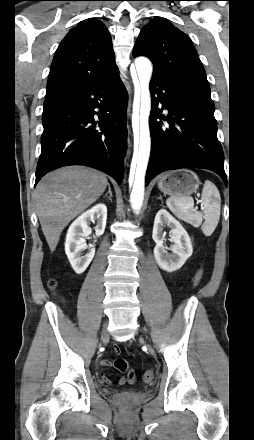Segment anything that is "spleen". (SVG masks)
I'll return each mask as SVG.
<instances>
[{
    "mask_svg": "<svg viewBox=\"0 0 254 440\" xmlns=\"http://www.w3.org/2000/svg\"><path fill=\"white\" fill-rule=\"evenodd\" d=\"M201 203L204 210L199 212L193 208L194 200L192 197H170L166 201L168 208L177 218L194 227L201 226L203 234L210 236L220 219L221 197L216 185L209 180L204 183Z\"/></svg>",
    "mask_w": 254,
    "mask_h": 440,
    "instance_id": "obj_1",
    "label": "spleen"
}]
</instances>
